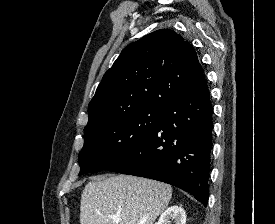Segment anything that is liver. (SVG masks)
Listing matches in <instances>:
<instances>
[{
    "label": "liver",
    "mask_w": 275,
    "mask_h": 224,
    "mask_svg": "<svg viewBox=\"0 0 275 224\" xmlns=\"http://www.w3.org/2000/svg\"><path fill=\"white\" fill-rule=\"evenodd\" d=\"M171 197L170 185L146 178L117 175L90 181L81 195L80 223L153 224Z\"/></svg>",
    "instance_id": "obj_1"
}]
</instances>
